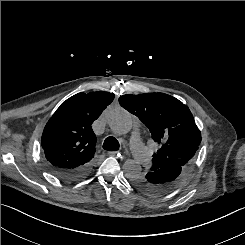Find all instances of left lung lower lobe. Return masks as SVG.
<instances>
[{"label":"left lung lower lobe","instance_id":"1","mask_svg":"<svg viewBox=\"0 0 245 245\" xmlns=\"http://www.w3.org/2000/svg\"><path fill=\"white\" fill-rule=\"evenodd\" d=\"M186 169L171 165L148 172V179L152 184L153 195H162L175 188L183 179Z\"/></svg>","mask_w":245,"mask_h":245}]
</instances>
